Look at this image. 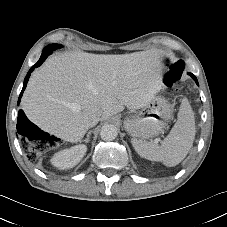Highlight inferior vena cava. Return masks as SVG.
<instances>
[{
    "instance_id": "1",
    "label": "inferior vena cava",
    "mask_w": 227,
    "mask_h": 227,
    "mask_svg": "<svg viewBox=\"0 0 227 227\" xmlns=\"http://www.w3.org/2000/svg\"><path fill=\"white\" fill-rule=\"evenodd\" d=\"M99 121H100V115L98 113L92 112L86 116V125L88 127L95 126Z\"/></svg>"
}]
</instances>
